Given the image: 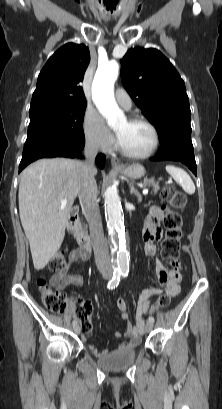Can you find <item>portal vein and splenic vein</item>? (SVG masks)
<instances>
[{
    "label": "portal vein and splenic vein",
    "mask_w": 222,
    "mask_h": 409,
    "mask_svg": "<svg viewBox=\"0 0 222 409\" xmlns=\"http://www.w3.org/2000/svg\"><path fill=\"white\" fill-rule=\"evenodd\" d=\"M143 194H144V195L148 194V189H144V190H143ZM61 204H62V205L67 204V200H62V201H61Z\"/></svg>",
    "instance_id": "portal-vein-and-splenic-vein-1"
}]
</instances>
